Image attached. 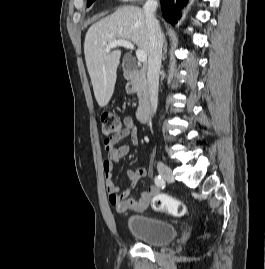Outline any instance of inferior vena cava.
Wrapping results in <instances>:
<instances>
[{"label": "inferior vena cava", "instance_id": "602c4592", "mask_svg": "<svg viewBox=\"0 0 265 269\" xmlns=\"http://www.w3.org/2000/svg\"><path fill=\"white\" fill-rule=\"evenodd\" d=\"M157 7L158 3L156 0H147L143 6L150 40L147 82L153 114L156 112L158 104L159 73L164 42L160 25L154 15Z\"/></svg>", "mask_w": 265, "mask_h": 269}]
</instances>
